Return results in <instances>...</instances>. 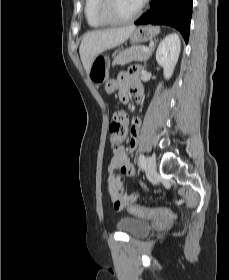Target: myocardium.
I'll return each instance as SVG.
<instances>
[{"mask_svg": "<svg viewBox=\"0 0 229 280\" xmlns=\"http://www.w3.org/2000/svg\"><path fill=\"white\" fill-rule=\"evenodd\" d=\"M148 0H145L142 5L138 7V9L129 17H117L113 14L111 7L113 0H100L98 8H97V16L98 18L107 25H121L133 22L137 19L142 10L144 8L145 3Z\"/></svg>", "mask_w": 229, "mask_h": 280, "instance_id": "1", "label": "myocardium"}]
</instances>
